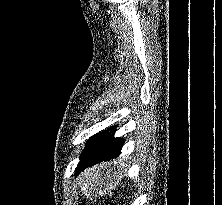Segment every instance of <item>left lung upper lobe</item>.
<instances>
[{"mask_svg":"<svg viewBox=\"0 0 222 205\" xmlns=\"http://www.w3.org/2000/svg\"><path fill=\"white\" fill-rule=\"evenodd\" d=\"M98 136H99V134L94 135L93 137H91V138L89 139V141L87 142L86 147H85V149H84V152H83V154L81 155L80 160L83 159V158L88 154V152L92 149V147L94 146V144H95Z\"/></svg>","mask_w":222,"mask_h":205,"instance_id":"obj_1","label":"left lung upper lobe"}]
</instances>
